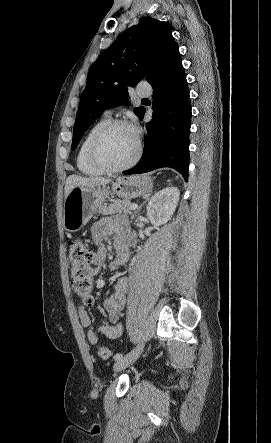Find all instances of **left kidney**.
<instances>
[{
	"label": "left kidney",
	"mask_w": 271,
	"mask_h": 443,
	"mask_svg": "<svg viewBox=\"0 0 271 443\" xmlns=\"http://www.w3.org/2000/svg\"><path fill=\"white\" fill-rule=\"evenodd\" d=\"M180 190L169 186L157 192L151 198L146 210L147 216L153 225H162L172 218L179 202Z\"/></svg>",
	"instance_id": "5707ae66"
}]
</instances>
